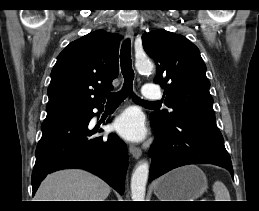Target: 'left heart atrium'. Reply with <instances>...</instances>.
<instances>
[{
  "label": "left heart atrium",
  "mask_w": 259,
  "mask_h": 211,
  "mask_svg": "<svg viewBox=\"0 0 259 211\" xmlns=\"http://www.w3.org/2000/svg\"><path fill=\"white\" fill-rule=\"evenodd\" d=\"M114 130L123 138L130 141H140L146 134V129L140 113L127 110L113 124Z\"/></svg>",
  "instance_id": "1"
}]
</instances>
